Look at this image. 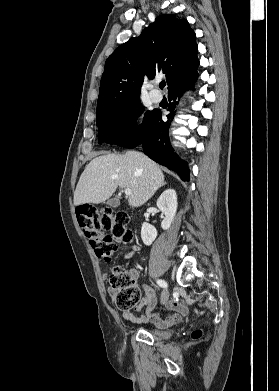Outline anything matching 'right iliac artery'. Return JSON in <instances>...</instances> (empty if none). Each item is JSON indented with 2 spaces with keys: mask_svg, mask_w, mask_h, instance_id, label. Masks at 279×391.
I'll return each mask as SVG.
<instances>
[{
  "mask_svg": "<svg viewBox=\"0 0 279 391\" xmlns=\"http://www.w3.org/2000/svg\"><path fill=\"white\" fill-rule=\"evenodd\" d=\"M157 284L162 288L167 287V283L164 280H157Z\"/></svg>",
  "mask_w": 279,
  "mask_h": 391,
  "instance_id": "82829eb1",
  "label": "right iliac artery"
}]
</instances>
